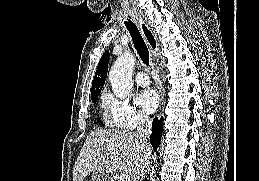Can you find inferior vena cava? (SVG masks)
Listing matches in <instances>:
<instances>
[{
  "mask_svg": "<svg viewBox=\"0 0 259 181\" xmlns=\"http://www.w3.org/2000/svg\"><path fill=\"white\" fill-rule=\"evenodd\" d=\"M152 132V125L151 122L149 120V118L145 115H141L139 117V122H138V126H137V137L142 145V149L146 152L149 151L151 146L149 144L148 138L150 136ZM147 170L143 169V171L141 172L138 180L143 181V179L145 178Z\"/></svg>",
  "mask_w": 259,
  "mask_h": 181,
  "instance_id": "obj_1",
  "label": "inferior vena cava"
}]
</instances>
